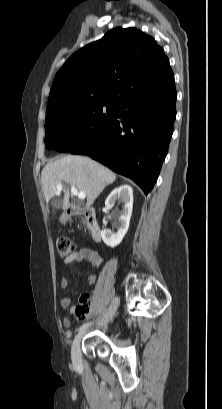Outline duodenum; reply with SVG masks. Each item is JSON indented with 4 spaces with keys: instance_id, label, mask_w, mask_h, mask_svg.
I'll return each instance as SVG.
<instances>
[{
    "instance_id": "1",
    "label": "duodenum",
    "mask_w": 222,
    "mask_h": 409,
    "mask_svg": "<svg viewBox=\"0 0 222 409\" xmlns=\"http://www.w3.org/2000/svg\"><path fill=\"white\" fill-rule=\"evenodd\" d=\"M68 216H73L79 213H83L85 216L86 227L88 233L94 242L101 241V230L98 225L95 210L93 207H76L70 206L67 209Z\"/></svg>"
}]
</instances>
